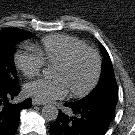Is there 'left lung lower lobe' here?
<instances>
[{"mask_svg": "<svg viewBox=\"0 0 135 135\" xmlns=\"http://www.w3.org/2000/svg\"><path fill=\"white\" fill-rule=\"evenodd\" d=\"M117 101L65 103L70 114L61 111L50 126V135H104L115 115Z\"/></svg>", "mask_w": 135, "mask_h": 135, "instance_id": "1", "label": "left lung lower lobe"}]
</instances>
